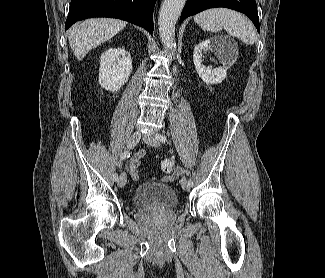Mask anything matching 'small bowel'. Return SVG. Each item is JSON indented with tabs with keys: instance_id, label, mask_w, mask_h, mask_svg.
<instances>
[{
	"instance_id": "small-bowel-1",
	"label": "small bowel",
	"mask_w": 325,
	"mask_h": 278,
	"mask_svg": "<svg viewBox=\"0 0 325 278\" xmlns=\"http://www.w3.org/2000/svg\"><path fill=\"white\" fill-rule=\"evenodd\" d=\"M146 152L145 150H140L137 154H135L132 159L129 162L128 165V171L129 174L134 181L140 180V172H139V167H140V160L143 156H145ZM183 171L181 169H176L174 172L173 176L171 179H177L181 176Z\"/></svg>"
}]
</instances>
